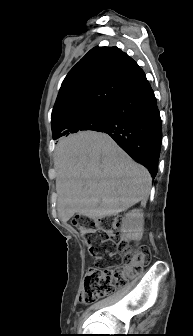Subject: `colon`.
Segmentation results:
<instances>
[{
  "label": "colon",
  "mask_w": 193,
  "mask_h": 336,
  "mask_svg": "<svg viewBox=\"0 0 193 336\" xmlns=\"http://www.w3.org/2000/svg\"><path fill=\"white\" fill-rule=\"evenodd\" d=\"M75 228L83 235L90 246L91 254L101 259L114 257L121 253L123 264L116 267L98 266L90 268L84 279L80 301L83 304L95 302L98 298L112 293L115 288L123 287L131 278L138 276L151 259L150 249L139 246L128 251L119 239L122 221L120 218L74 219Z\"/></svg>",
  "instance_id": "5ec220e1"
}]
</instances>
